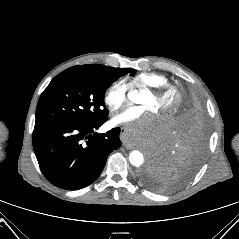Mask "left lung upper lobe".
<instances>
[{
  "mask_svg": "<svg viewBox=\"0 0 239 239\" xmlns=\"http://www.w3.org/2000/svg\"><path fill=\"white\" fill-rule=\"evenodd\" d=\"M190 95L197 96V94H195L194 92H191ZM142 179L146 185H148L149 187L153 189H156L159 191L165 190L164 182L159 177H157V175H154L153 173L145 171L142 175Z\"/></svg>",
  "mask_w": 239,
  "mask_h": 239,
  "instance_id": "1",
  "label": "left lung upper lobe"
}]
</instances>
